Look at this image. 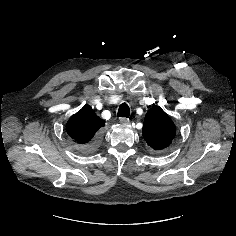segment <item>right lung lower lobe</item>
I'll use <instances>...</instances> for the list:
<instances>
[{"label":"right lung lower lobe","mask_w":236,"mask_h":236,"mask_svg":"<svg viewBox=\"0 0 236 236\" xmlns=\"http://www.w3.org/2000/svg\"><path fill=\"white\" fill-rule=\"evenodd\" d=\"M95 147V142H92L89 146H88V150H92Z\"/></svg>","instance_id":"obj_1"}]
</instances>
